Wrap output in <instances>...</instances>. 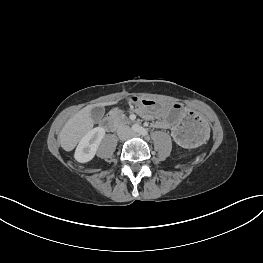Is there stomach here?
<instances>
[{
    "label": "stomach",
    "instance_id": "stomach-1",
    "mask_svg": "<svg viewBox=\"0 0 263 263\" xmlns=\"http://www.w3.org/2000/svg\"><path fill=\"white\" fill-rule=\"evenodd\" d=\"M145 111L174 131V138L185 147L201 144L208 135V120L204 115H195L183 103L162 104L148 98H130Z\"/></svg>",
    "mask_w": 263,
    "mask_h": 263
}]
</instances>
